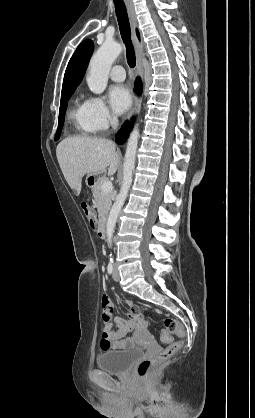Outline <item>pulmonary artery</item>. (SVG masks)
I'll return each mask as SVG.
<instances>
[{
  "label": "pulmonary artery",
  "mask_w": 255,
  "mask_h": 418,
  "mask_svg": "<svg viewBox=\"0 0 255 418\" xmlns=\"http://www.w3.org/2000/svg\"><path fill=\"white\" fill-rule=\"evenodd\" d=\"M110 77L113 81L121 82L125 79V70L120 65H115L110 71Z\"/></svg>",
  "instance_id": "1"
}]
</instances>
